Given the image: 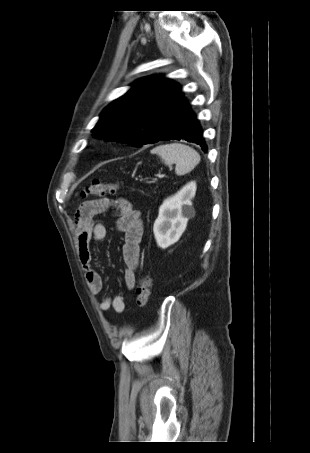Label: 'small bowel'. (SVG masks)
I'll return each mask as SVG.
<instances>
[{
	"instance_id": "1",
	"label": "small bowel",
	"mask_w": 310,
	"mask_h": 453,
	"mask_svg": "<svg viewBox=\"0 0 310 453\" xmlns=\"http://www.w3.org/2000/svg\"><path fill=\"white\" fill-rule=\"evenodd\" d=\"M117 214L116 229L124 233L123 260L125 263L124 282L127 290L132 291L136 284V272L140 262V242L143 232L141 213L134 209L132 203L124 198L110 200L100 198L84 201L75 214V227L79 248L80 261L84 269L86 283L92 294L98 295L103 289V280L92 266L90 242L101 241L106 237V227L96 217L110 208ZM126 305L123 296L105 297L99 301L98 307L107 311L111 307L118 313L124 311Z\"/></svg>"
}]
</instances>
